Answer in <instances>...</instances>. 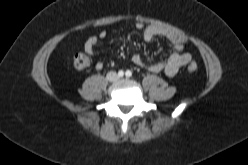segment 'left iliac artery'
<instances>
[{
	"mask_svg": "<svg viewBox=\"0 0 248 165\" xmlns=\"http://www.w3.org/2000/svg\"><path fill=\"white\" fill-rule=\"evenodd\" d=\"M125 74H126L127 77H131L132 76V72L130 70H127Z\"/></svg>",
	"mask_w": 248,
	"mask_h": 165,
	"instance_id": "left-iliac-artery-1",
	"label": "left iliac artery"
}]
</instances>
